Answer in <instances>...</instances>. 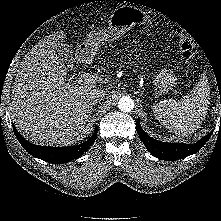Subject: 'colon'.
<instances>
[{"label":"colon","instance_id":"1","mask_svg":"<svg viewBox=\"0 0 221 221\" xmlns=\"http://www.w3.org/2000/svg\"><path fill=\"white\" fill-rule=\"evenodd\" d=\"M174 32L179 37V48L183 58H190L194 50V42L187 33L179 26L173 28Z\"/></svg>","mask_w":221,"mask_h":221}]
</instances>
